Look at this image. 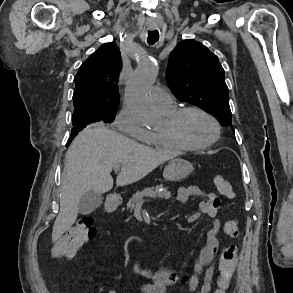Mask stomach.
Returning <instances> with one entry per match:
<instances>
[{"instance_id": "obj_1", "label": "stomach", "mask_w": 293, "mask_h": 293, "mask_svg": "<svg viewBox=\"0 0 293 293\" xmlns=\"http://www.w3.org/2000/svg\"><path fill=\"white\" fill-rule=\"evenodd\" d=\"M193 171V165L184 159L175 158L165 167L164 179L171 182H178L185 179Z\"/></svg>"}]
</instances>
